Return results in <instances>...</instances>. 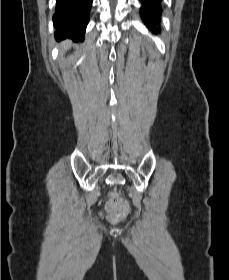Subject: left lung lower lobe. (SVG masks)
<instances>
[{"instance_id":"1","label":"left lung lower lobe","mask_w":229,"mask_h":280,"mask_svg":"<svg viewBox=\"0 0 229 280\" xmlns=\"http://www.w3.org/2000/svg\"><path fill=\"white\" fill-rule=\"evenodd\" d=\"M142 3V11L141 16L144 20L145 24L152 30V32L156 33L158 29H156L155 25L158 24V20L160 18L161 8L160 2L161 0H139Z\"/></svg>"}]
</instances>
